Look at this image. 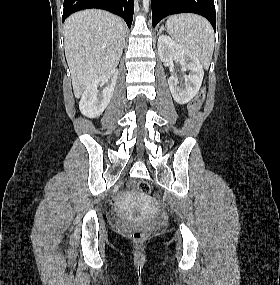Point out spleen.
Instances as JSON below:
<instances>
[{
    "mask_svg": "<svg viewBox=\"0 0 280 285\" xmlns=\"http://www.w3.org/2000/svg\"><path fill=\"white\" fill-rule=\"evenodd\" d=\"M171 37L192 52L205 69L209 68L214 50V32L210 23L198 15H173L166 22Z\"/></svg>",
    "mask_w": 280,
    "mask_h": 285,
    "instance_id": "1",
    "label": "spleen"
}]
</instances>
